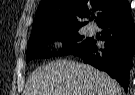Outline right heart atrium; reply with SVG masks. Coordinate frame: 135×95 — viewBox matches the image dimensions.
<instances>
[{"instance_id": "1", "label": "right heart atrium", "mask_w": 135, "mask_h": 95, "mask_svg": "<svg viewBox=\"0 0 135 95\" xmlns=\"http://www.w3.org/2000/svg\"><path fill=\"white\" fill-rule=\"evenodd\" d=\"M56 44H57L58 46H60V45H61V42H60V41H57Z\"/></svg>"}]
</instances>
